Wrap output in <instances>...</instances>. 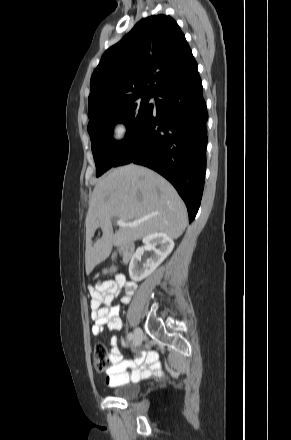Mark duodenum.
Returning <instances> with one entry per match:
<instances>
[{"instance_id": "1", "label": "duodenum", "mask_w": 291, "mask_h": 440, "mask_svg": "<svg viewBox=\"0 0 291 440\" xmlns=\"http://www.w3.org/2000/svg\"><path fill=\"white\" fill-rule=\"evenodd\" d=\"M117 248V246H116ZM121 251H122V255H123V259L124 260H129L133 253H134V244L132 242L129 241H125L120 245Z\"/></svg>"}]
</instances>
